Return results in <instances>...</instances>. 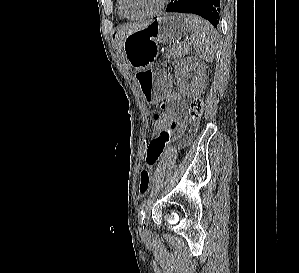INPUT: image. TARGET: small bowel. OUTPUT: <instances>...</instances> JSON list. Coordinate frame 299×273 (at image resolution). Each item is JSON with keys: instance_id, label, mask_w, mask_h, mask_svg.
<instances>
[{"instance_id": "1", "label": "small bowel", "mask_w": 299, "mask_h": 273, "mask_svg": "<svg viewBox=\"0 0 299 273\" xmlns=\"http://www.w3.org/2000/svg\"><path fill=\"white\" fill-rule=\"evenodd\" d=\"M169 106L164 107L172 114L169 126L160 134L153 135L144 147L145 159L148 167H152L159 160L172 133L180 135L187 124L186 103L182 97L172 94L168 100Z\"/></svg>"}]
</instances>
